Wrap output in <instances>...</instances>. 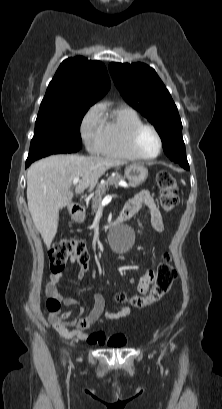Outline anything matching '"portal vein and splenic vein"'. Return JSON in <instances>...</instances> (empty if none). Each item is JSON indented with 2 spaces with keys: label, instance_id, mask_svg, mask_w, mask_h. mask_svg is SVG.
<instances>
[{
  "label": "portal vein and splenic vein",
  "instance_id": "portal-vein-and-splenic-vein-1",
  "mask_svg": "<svg viewBox=\"0 0 222 409\" xmlns=\"http://www.w3.org/2000/svg\"><path fill=\"white\" fill-rule=\"evenodd\" d=\"M79 181H80V179H79V177H77V178H75V179L73 180V184H74V185H77ZM105 203H106V200H103V201L101 202L102 205H104Z\"/></svg>",
  "mask_w": 222,
  "mask_h": 409
}]
</instances>
